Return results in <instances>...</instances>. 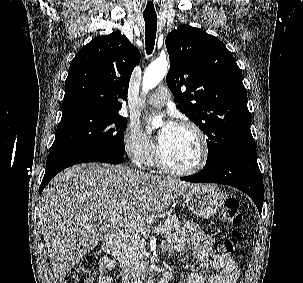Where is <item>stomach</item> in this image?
<instances>
[{
  "label": "stomach",
  "mask_w": 303,
  "mask_h": 283,
  "mask_svg": "<svg viewBox=\"0 0 303 283\" xmlns=\"http://www.w3.org/2000/svg\"><path fill=\"white\" fill-rule=\"evenodd\" d=\"M225 200L224 194L212 185H194L186 190L187 208L196 216H214Z\"/></svg>",
  "instance_id": "1"
}]
</instances>
